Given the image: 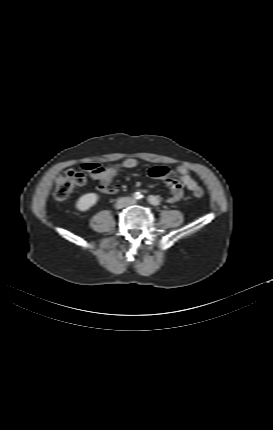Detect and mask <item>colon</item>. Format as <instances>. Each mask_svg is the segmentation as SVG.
Wrapping results in <instances>:
<instances>
[{"label":"colon","instance_id":"obj_1","mask_svg":"<svg viewBox=\"0 0 273 430\" xmlns=\"http://www.w3.org/2000/svg\"><path fill=\"white\" fill-rule=\"evenodd\" d=\"M86 180V173L75 170L65 171L55 180V199L58 201L66 200L75 189L84 186ZM192 194L196 198H201L204 195V190L198 186L192 191Z\"/></svg>","mask_w":273,"mask_h":430}]
</instances>
